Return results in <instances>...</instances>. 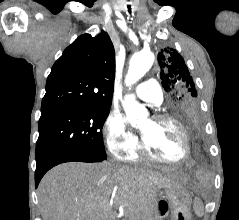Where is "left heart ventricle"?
Segmentation results:
<instances>
[{"label":"left heart ventricle","instance_id":"1","mask_svg":"<svg viewBox=\"0 0 239 220\" xmlns=\"http://www.w3.org/2000/svg\"><path fill=\"white\" fill-rule=\"evenodd\" d=\"M139 128L146 144L156 155L169 160H177L184 155V139L175 125L145 119Z\"/></svg>","mask_w":239,"mask_h":220}]
</instances>
